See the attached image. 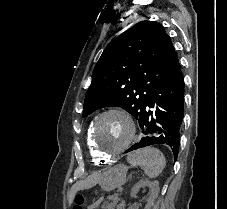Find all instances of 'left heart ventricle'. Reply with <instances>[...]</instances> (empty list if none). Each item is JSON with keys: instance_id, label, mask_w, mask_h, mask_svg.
<instances>
[{"instance_id": "obj_1", "label": "left heart ventricle", "mask_w": 227, "mask_h": 209, "mask_svg": "<svg viewBox=\"0 0 227 209\" xmlns=\"http://www.w3.org/2000/svg\"><path fill=\"white\" fill-rule=\"evenodd\" d=\"M131 135V126L120 114L112 113L105 116L98 127L97 139L106 151H114L122 147Z\"/></svg>"}]
</instances>
